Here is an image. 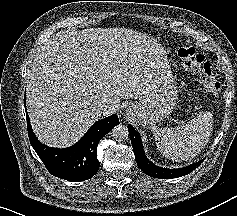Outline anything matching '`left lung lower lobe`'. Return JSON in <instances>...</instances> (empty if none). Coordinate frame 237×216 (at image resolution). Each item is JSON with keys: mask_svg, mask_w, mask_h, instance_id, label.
I'll list each match as a JSON object with an SVG mask.
<instances>
[{"mask_svg": "<svg viewBox=\"0 0 237 216\" xmlns=\"http://www.w3.org/2000/svg\"><path fill=\"white\" fill-rule=\"evenodd\" d=\"M128 131H129L133 151L135 154V160L137 162L138 167L145 174L153 178L167 179V178H177V177L187 175L190 172H192L194 169H196L204 160L203 159L190 166L178 168V169H166V168L158 167L154 165L153 163H151L146 157L139 133L131 125H128Z\"/></svg>", "mask_w": 237, "mask_h": 216, "instance_id": "1", "label": "left lung lower lobe"}]
</instances>
